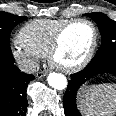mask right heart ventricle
Masks as SVG:
<instances>
[{"label":"right heart ventricle","mask_w":116,"mask_h":116,"mask_svg":"<svg viewBox=\"0 0 116 116\" xmlns=\"http://www.w3.org/2000/svg\"><path fill=\"white\" fill-rule=\"evenodd\" d=\"M68 19H35L26 23L18 32L17 42L41 57L48 54L57 30Z\"/></svg>","instance_id":"e07e8e85"}]
</instances>
